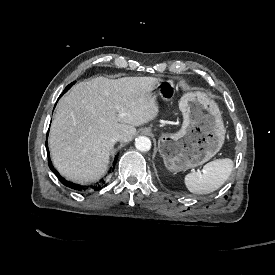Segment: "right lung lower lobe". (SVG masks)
Listing matches in <instances>:
<instances>
[{
	"instance_id": "98d812e1",
	"label": "right lung lower lobe",
	"mask_w": 275,
	"mask_h": 275,
	"mask_svg": "<svg viewBox=\"0 0 275 275\" xmlns=\"http://www.w3.org/2000/svg\"><path fill=\"white\" fill-rule=\"evenodd\" d=\"M46 147L48 148L47 142H46ZM116 160L117 159H115V162H116ZM48 164H49L50 169L57 175V177L59 178V180L61 181V183L63 185H65V186H67L69 188L75 189V190H79V191L85 190L84 186H81L79 184H75L73 182L67 181L63 177H61L59 175V173L54 169L53 165L51 164L50 158H48ZM113 169H114V166H113ZM102 183H104V182H102ZM92 188L94 190H100L102 188V184H98V186H92Z\"/></svg>"
}]
</instances>
